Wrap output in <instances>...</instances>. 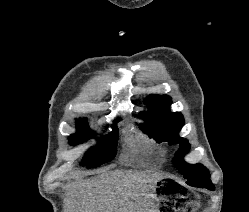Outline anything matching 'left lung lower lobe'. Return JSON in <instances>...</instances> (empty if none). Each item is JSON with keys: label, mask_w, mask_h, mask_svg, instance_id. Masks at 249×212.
<instances>
[{"label": "left lung lower lobe", "mask_w": 249, "mask_h": 212, "mask_svg": "<svg viewBox=\"0 0 249 212\" xmlns=\"http://www.w3.org/2000/svg\"><path fill=\"white\" fill-rule=\"evenodd\" d=\"M195 187H201V188H206V189H209V190H214V185L212 183L210 184H201V185H197Z\"/></svg>", "instance_id": "0a47b994"}]
</instances>
